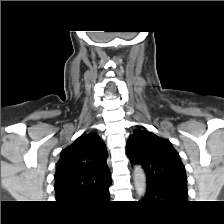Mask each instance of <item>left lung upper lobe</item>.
<instances>
[{"label":"left lung upper lobe","mask_w":224,"mask_h":224,"mask_svg":"<svg viewBox=\"0 0 224 224\" xmlns=\"http://www.w3.org/2000/svg\"><path fill=\"white\" fill-rule=\"evenodd\" d=\"M127 154L145 170L148 184L187 189L184 165L168 140L137 131L128 139Z\"/></svg>","instance_id":"obj_1"}]
</instances>
